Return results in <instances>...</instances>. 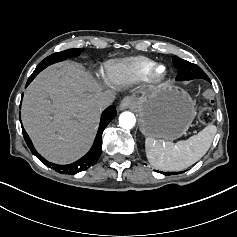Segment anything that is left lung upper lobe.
<instances>
[{"label":"left lung upper lobe","instance_id":"1","mask_svg":"<svg viewBox=\"0 0 237 237\" xmlns=\"http://www.w3.org/2000/svg\"><path fill=\"white\" fill-rule=\"evenodd\" d=\"M173 63H174V66L178 69V75L176 77L177 81L204 79L210 82L209 77L205 74V72L199 66L193 63H190L186 60H183L179 57H174ZM169 174L171 175L172 173H169Z\"/></svg>","mask_w":237,"mask_h":237}]
</instances>
